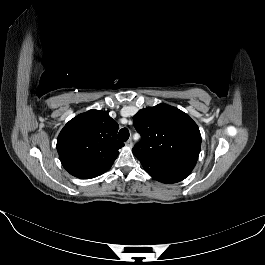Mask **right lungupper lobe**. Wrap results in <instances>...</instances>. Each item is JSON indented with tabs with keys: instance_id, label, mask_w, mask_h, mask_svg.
<instances>
[{
	"instance_id": "obj_1",
	"label": "right lung upper lobe",
	"mask_w": 265,
	"mask_h": 265,
	"mask_svg": "<svg viewBox=\"0 0 265 265\" xmlns=\"http://www.w3.org/2000/svg\"><path fill=\"white\" fill-rule=\"evenodd\" d=\"M118 127L108 111L89 110L71 119L57 139V151L64 168L83 179L106 172L124 146L116 138Z\"/></svg>"
}]
</instances>
